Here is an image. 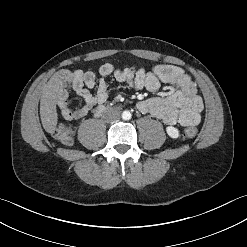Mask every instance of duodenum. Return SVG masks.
<instances>
[{
	"instance_id": "duodenum-1",
	"label": "duodenum",
	"mask_w": 247,
	"mask_h": 247,
	"mask_svg": "<svg viewBox=\"0 0 247 247\" xmlns=\"http://www.w3.org/2000/svg\"><path fill=\"white\" fill-rule=\"evenodd\" d=\"M105 110L106 108L104 106L99 107L98 110L96 111V115L97 116L101 115Z\"/></svg>"
}]
</instances>
